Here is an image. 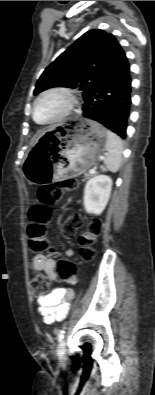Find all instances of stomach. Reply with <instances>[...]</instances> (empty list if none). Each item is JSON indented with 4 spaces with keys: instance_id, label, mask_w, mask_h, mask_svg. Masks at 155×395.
Wrapping results in <instances>:
<instances>
[{
    "instance_id": "obj_1",
    "label": "stomach",
    "mask_w": 155,
    "mask_h": 395,
    "mask_svg": "<svg viewBox=\"0 0 155 395\" xmlns=\"http://www.w3.org/2000/svg\"><path fill=\"white\" fill-rule=\"evenodd\" d=\"M38 140L28 153L23 173L31 184H46L83 173L106 145V129L77 116Z\"/></svg>"
}]
</instances>
